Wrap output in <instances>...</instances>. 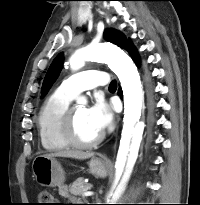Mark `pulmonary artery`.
I'll use <instances>...</instances> for the list:
<instances>
[{
    "label": "pulmonary artery",
    "instance_id": "e3ab8cb5",
    "mask_svg": "<svg viewBox=\"0 0 200 205\" xmlns=\"http://www.w3.org/2000/svg\"><path fill=\"white\" fill-rule=\"evenodd\" d=\"M109 76L99 70H86L63 80L60 89L75 97L80 92L108 84Z\"/></svg>",
    "mask_w": 200,
    "mask_h": 205
}]
</instances>
